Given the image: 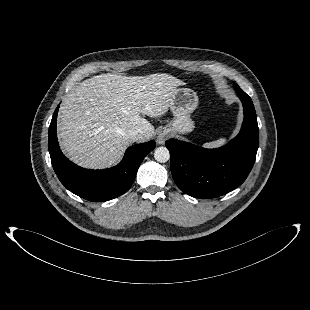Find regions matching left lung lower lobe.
Returning a JSON list of instances; mask_svg holds the SVG:
<instances>
[{"mask_svg": "<svg viewBox=\"0 0 310 310\" xmlns=\"http://www.w3.org/2000/svg\"><path fill=\"white\" fill-rule=\"evenodd\" d=\"M235 90L243 104L244 121L240 133L227 145L204 149L174 139L165 142L173 179L192 197L209 199L234 190L245 181L254 165L259 145L255 109L240 87Z\"/></svg>", "mask_w": 310, "mask_h": 310, "instance_id": "obj_1", "label": "left lung lower lobe"}]
</instances>
